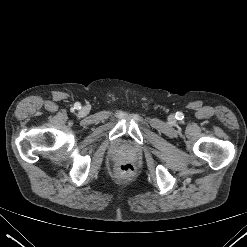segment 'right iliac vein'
Returning a JSON list of instances; mask_svg holds the SVG:
<instances>
[{
	"label": "right iliac vein",
	"mask_w": 247,
	"mask_h": 247,
	"mask_svg": "<svg viewBox=\"0 0 247 247\" xmlns=\"http://www.w3.org/2000/svg\"><path fill=\"white\" fill-rule=\"evenodd\" d=\"M80 113L82 115H86L87 114V109L86 108H82L81 111H80Z\"/></svg>",
	"instance_id": "1"
}]
</instances>
